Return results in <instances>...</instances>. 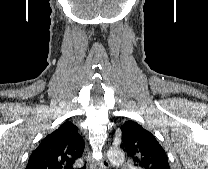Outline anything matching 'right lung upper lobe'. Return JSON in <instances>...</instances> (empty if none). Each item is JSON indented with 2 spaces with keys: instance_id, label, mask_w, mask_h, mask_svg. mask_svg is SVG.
Masks as SVG:
<instances>
[{
  "instance_id": "obj_1",
  "label": "right lung upper lobe",
  "mask_w": 208,
  "mask_h": 169,
  "mask_svg": "<svg viewBox=\"0 0 208 169\" xmlns=\"http://www.w3.org/2000/svg\"><path fill=\"white\" fill-rule=\"evenodd\" d=\"M84 141L72 122H64L32 152L26 169H73L82 156Z\"/></svg>"
}]
</instances>
